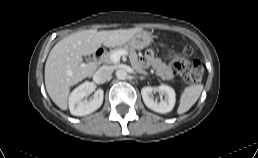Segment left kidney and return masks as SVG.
<instances>
[{"label": "left kidney", "mask_w": 258, "mask_h": 158, "mask_svg": "<svg viewBox=\"0 0 258 158\" xmlns=\"http://www.w3.org/2000/svg\"><path fill=\"white\" fill-rule=\"evenodd\" d=\"M156 91L164 95V100L157 102L154 99V92ZM141 94L145 105L149 109L162 114L170 112L174 108L176 102L174 89L165 84H161L158 87H143Z\"/></svg>", "instance_id": "left-kidney-1"}]
</instances>
